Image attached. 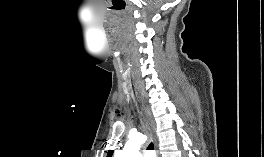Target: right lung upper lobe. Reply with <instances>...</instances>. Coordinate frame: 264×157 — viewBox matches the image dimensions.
<instances>
[{"mask_svg":"<svg viewBox=\"0 0 264 157\" xmlns=\"http://www.w3.org/2000/svg\"><path fill=\"white\" fill-rule=\"evenodd\" d=\"M112 152H113L112 150H109V151H108V155H107V157H111Z\"/></svg>","mask_w":264,"mask_h":157,"instance_id":"cb5924a9","label":"right lung upper lobe"}]
</instances>
